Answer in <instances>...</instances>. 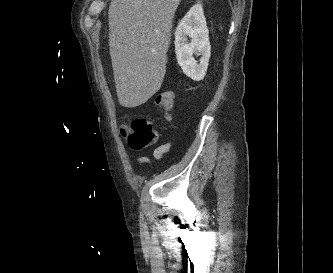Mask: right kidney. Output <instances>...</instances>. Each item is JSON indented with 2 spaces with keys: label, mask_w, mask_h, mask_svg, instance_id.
I'll return each instance as SVG.
<instances>
[{
  "label": "right kidney",
  "mask_w": 333,
  "mask_h": 273,
  "mask_svg": "<svg viewBox=\"0 0 333 273\" xmlns=\"http://www.w3.org/2000/svg\"><path fill=\"white\" fill-rule=\"evenodd\" d=\"M187 36L191 38L187 42ZM175 53L183 73L195 81L204 78L211 55L209 31L201 4H195L175 32ZM201 55L199 63L193 57Z\"/></svg>",
  "instance_id": "obj_1"
}]
</instances>
